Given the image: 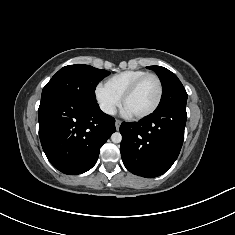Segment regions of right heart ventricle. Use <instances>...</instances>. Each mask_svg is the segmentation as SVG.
I'll return each instance as SVG.
<instances>
[{
  "label": "right heart ventricle",
  "instance_id": "right-heart-ventricle-1",
  "mask_svg": "<svg viewBox=\"0 0 235 235\" xmlns=\"http://www.w3.org/2000/svg\"><path fill=\"white\" fill-rule=\"evenodd\" d=\"M144 70H125L109 77L104 85L118 98L139 77L147 74Z\"/></svg>",
  "mask_w": 235,
  "mask_h": 235
}]
</instances>
